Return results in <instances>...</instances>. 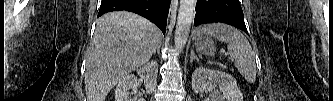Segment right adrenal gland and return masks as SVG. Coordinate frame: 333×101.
<instances>
[{
  "label": "right adrenal gland",
  "instance_id": "2a0ac1e0",
  "mask_svg": "<svg viewBox=\"0 0 333 101\" xmlns=\"http://www.w3.org/2000/svg\"><path fill=\"white\" fill-rule=\"evenodd\" d=\"M157 53L160 54V47H158V49H157Z\"/></svg>",
  "mask_w": 333,
  "mask_h": 101
}]
</instances>
